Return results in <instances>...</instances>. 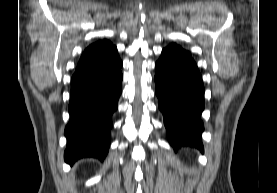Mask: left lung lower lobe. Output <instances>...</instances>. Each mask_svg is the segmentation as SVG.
Here are the masks:
<instances>
[{
    "instance_id": "left-lung-lower-lobe-1",
    "label": "left lung lower lobe",
    "mask_w": 277,
    "mask_h": 193,
    "mask_svg": "<svg viewBox=\"0 0 277 193\" xmlns=\"http://www.w3.org/2000/svg\"><path fill=\"white\" fill-rule=\"evenodd\" d=\"M155 67V92L169 143L175 150L184 145L203 150L204 86L191 54L171 44L163 49Z\"/></svg>"
}]
</instances>
